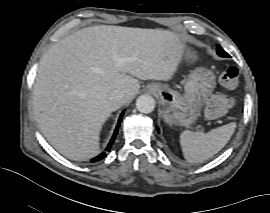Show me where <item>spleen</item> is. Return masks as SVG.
I'll return each mask as SVG.
<instances>
[{"mask_svg":"<svg viewBox=\"0 0 270 213\" xmlns=\"http://www.w3.org/2000/svg\"><path fill=\"white\" fill-rule=\"evenodd\" d=\"M236 128L231 122L208 133L185 130L180 134L184 158L189 163L204 162L217 154L228 143Z\"/></svg>","mask_w":270,"mask_h":213,"instance_id":"3e777b00","label":"spleen"}]
</instances>
